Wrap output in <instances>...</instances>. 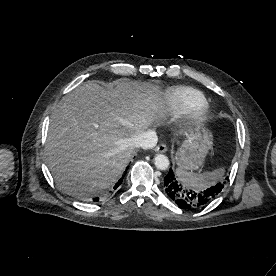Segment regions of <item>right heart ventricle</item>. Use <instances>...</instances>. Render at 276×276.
Listing matches in <instances>:
<instances>
[{"mask_svg":"<svg viewBox=\"0 0 276 276\" xmlns=\"http://www.w3.org/2000/svg\"><path fill=\"white\" fill-rule=\"evenodd\" d=\"M170 111L176 115H187L194 108L206 103L205 96L198 90L190 87L174 89L167 96Z\"/></svg>","mask_w":276,"mask_h":276,"instance_id":"e07e8e85","label":"right heart ventricle"}]
</instances>
